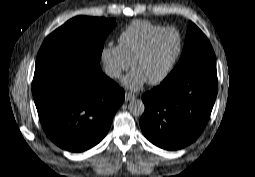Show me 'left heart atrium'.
I'll return each instance as SVG.
<instances>
[{
    "label": "left heart atrium",
    "instance_id": "1",
    "mask_svg": "<svg viewBox=\"0 0 255 177\" xmlns=\"http://www.w3.org/2000/svg\"><path fill=\"white\" fill-rule=\"evenodd\" d=\"M146 81L140 72L133 69L122 79V84L131 91H137L143 87Z\"/></svg>",
    "mask_w": 255,
    "mask_h": 177
}]
</instances>
